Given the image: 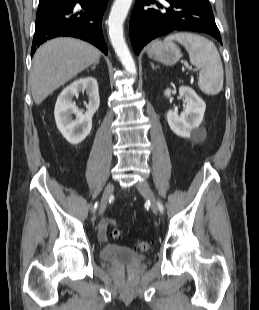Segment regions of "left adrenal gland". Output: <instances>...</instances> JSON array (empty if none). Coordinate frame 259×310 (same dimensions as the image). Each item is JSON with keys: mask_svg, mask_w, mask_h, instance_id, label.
<instances>
[{"mask_svg": "<svg viewBox=\"0 0 259 310\" xmlns=\"http://www.w3.org/2000/svg\"><path fill=\"white\" fill-rule=\"evenodd\" d=\"M151 67H152L153 70L156 69V67L153 64H151Z\"/></svg>", "mask_w": 259, "mask_h": 310, "instance_id": "obj_1", "label": "left adrenal gland"}]
</instances>
